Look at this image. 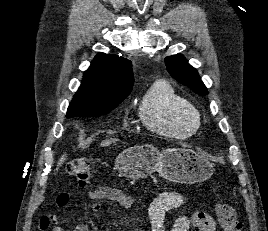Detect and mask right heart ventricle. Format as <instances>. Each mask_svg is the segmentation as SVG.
<instances>
[{"label":"right heart ventricle","instance_id":"e07e8e85","mask_svg":"<svg viewBox=\"0 0 268 231\" xmlns=\"http://www.w3.org/2000/svg\"><path fill=\"white\" fill-rule=\"evenodd\" d=\"M139 117L150 131L177 139L191 136L200 126L196 108L165 81L155 82L147 91Z\"/></svg>","mask_w":268,"mask_h":231}]
</instances>
